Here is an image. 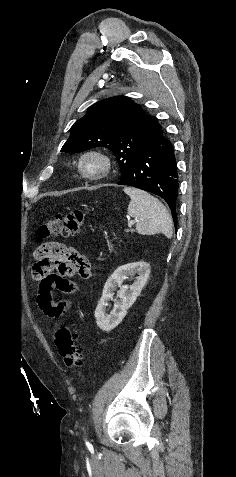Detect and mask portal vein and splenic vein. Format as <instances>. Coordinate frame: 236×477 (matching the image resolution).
<instances>
[{
  "mask_svg": "<svg viewBox=\"0 0 236 477\" xmlns=\"http://www.w3.org/2000/svg\"><path fill=\"white\" fill-rule=\"evenodd\" d=\"M135 222H136V220H131V221L129 222V226L133 225Z\"/></svg>",
  "mask_w": 236,
  "mask_h": 477,
  "instance_id": "obj_1",
  "label": "portal vein and splenic vein"
}]
</instances>
